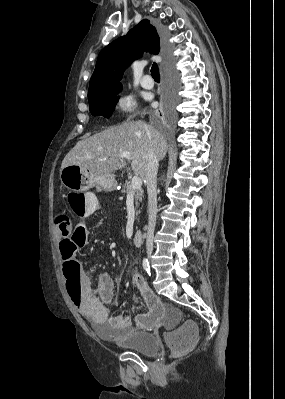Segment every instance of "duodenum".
Masks as SVG:
<instances>
[{
    "instance_id": "410a0bca",
    "label": "duodenum",
    "mask_w": 285,
    "mask_h": 399,
    "mask_svg": "<svg viewBox=\"0 0 285 399\" xmlns=\"http://www.w3.org/2000/svg\"><path fill=\"white\" fill-rule=\"evenodd\" d=\"M145 237V232L144 230L138 229L134 232L133 234V242L136 245H140L142 241L144 240Z\"/></svg>"
}]
</instances>
